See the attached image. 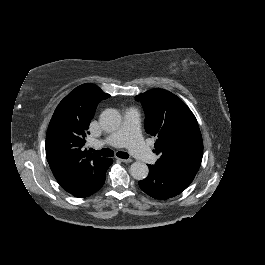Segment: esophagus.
<instances>
[{
  "label": "esophagus",
  "instance_id": "obj_1",
  "mask_svg": "<svg viewBox=\"0 0 265 265\" xmlns=\"http://www.w3.org/2000/svg\"><path fill=\"white\" fill-rule=\"evenodd\" d=\"M117 159H119L120 161H122L124 163H130V162H132L131 159H122V158H117Z\"/></svg>",
  "mask_w": 265,
  "mask_h": 265
}]
</instances>
